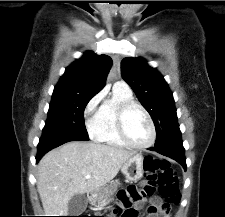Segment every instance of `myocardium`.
<instances>
[{
	"label": "myocardium",
	"mask_w": 225,
	"mask_h": 217,
	"mask_svg": "<svg viewBox=\"0 0 225 217\" xmlns=\"http://www.w3.org/2000/svg\"><path fill=\"white\" fill-rule=\"evenodd\" d=\"M134 108H138L143 112V114L146 116V118L149 122V125H150L151 138H150V141L144 145H137V144L133 143L130 140V138L128 137V134L126 131L127 115ZM116 122H117V130H118L120 139L126 146L133 148V149H137V150H144V149L150 148L155 143V140H156L155 124H154L153 119H152L151 115L149 114V112L140 103H138L134 100H128V101L122 102L117 108Z\"/></svg>",
	"instance_id": "myocardium-1"
}]
</instances>
